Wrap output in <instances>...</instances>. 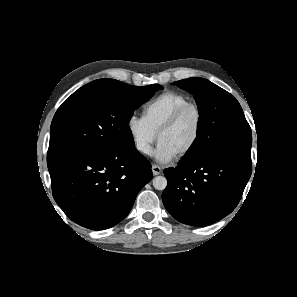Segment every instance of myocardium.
<instances>
[{"instance_id": "1", "label": "myocardium", "mask_w": 297, "mask_h": 297, "mask_svg": "<svg viewBox=\"0 0 297 297\" xmlns=\"http://www.w3.org/2000/svg\"><path fill=\"white\" fill-rule=\"evenodd\" d=\"M188 111H193L196 115V131L194 134L193 139L191 140V142L188 144V146L183 149L179 154L178 157L179 158H183L185 156H187L188 154H190L195 147L197 146L201 135H202V131H203V124H204V116L203 113L200 109V107L195 104V103H187L183 106H181L179 109H177L171 116L170 118L159 128V130L157 131V139L159 140L160 136L172 129L173 127H175L179 121L183 118V116L188 112Z\"/></svg>"}]
</instances>
